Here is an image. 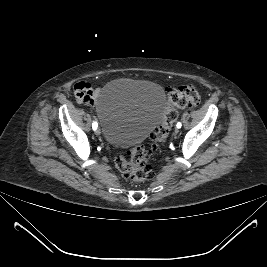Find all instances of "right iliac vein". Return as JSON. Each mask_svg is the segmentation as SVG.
Masks as SVG:
<instances>
[{"label":"right iliac vein","mask_w":267,"mask_h":267,"mask_svg":"<svg viewBox=\"0 0 267 267\" xmlns=\"http://www.w3.org/2000/svg\"><path fill=\"white\" fill-rule=\"evenodd\" d=\"M95 134L97 135V136H99L100 134H101V130L98 128V129H96L95 130Z\"/></svg>","instance_id":"obj_1"}]
</instances>
